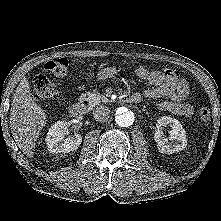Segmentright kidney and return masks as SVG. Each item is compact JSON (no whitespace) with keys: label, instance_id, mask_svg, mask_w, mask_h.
<instances>
[{"label":"right kidney","instance_id":"obj_1","mask_svg":"<svg viewBox=\"0 0 221 221\" xmlns=\"http://www.w3.org/2000/svg\"><path fill=\"white\" fill-rule=\"evenodd\" d=\"M70 125L67 121H57L46 136V146L51 153H69L76 150L82 143V137L74 134L65 138V130Z\"/></svg>","mask_w":221,"mask_h":221}]
</instances>
